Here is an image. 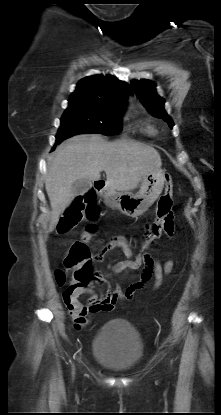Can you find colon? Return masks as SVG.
Returning a JSON list of instances; mask_svg holds the SVG:
<instances>
[{
	"label": "colon",
	"instance_id": "5ec220e1",
	"mask_svg": "<svg viewBox=\"0 0 221 415\" xmlns=\"http://www.w3.org/2000/svg\"><path fill=\"white\" fill-rule=\"evenodd\" d=\"M172 194L173 183L172 177L167 174L165 176V192L160 197L157 205L156 218L150 224L147 234H144L143 246L149 245L152 240L160 235L173 220L172 213ZM96 211L93 204V196L87 193L77 197L65 211L57 226V234L63 235L70 233L75 229L84 216L93 218ZM97 232V227L90 224L86 227L83 240L76 241L69 249L64 258V268L55 271V280L59 286H63L66 282L67 273L70 272L74 281L71 284L86 285L91 281L99 278L94 270V262L96 257L90 251L85 240ZM138 262H144V251L140 250L136 254ZM138 270L144 269L143 263L137 264Z\"/></svg>",
	"mask_w": 221,
	"mask_h": 415
}]
</instances>
